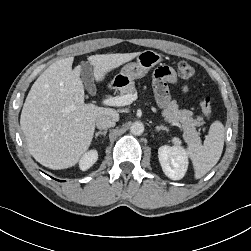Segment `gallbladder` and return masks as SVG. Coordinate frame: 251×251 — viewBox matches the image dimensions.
I'll use <instances>...</instances> for the list:
<instances>
[{"label": "gallbladder", "mask_w": 251, "mask_h": 251, "mask_svg": "<svg viewBox=\"0 0 251 251\" xmlns=\"http://www.w3.org/2000/svg\"><path fill=\"white\" fill-rule=\"evenodd\" d=\"M80 75L86 85V89L91 95H95L96 86L94 84L92 65L88 62L82 63L80 66Z\"/></svg>", "instance_id": "bac80fb5"}]
</instances>
